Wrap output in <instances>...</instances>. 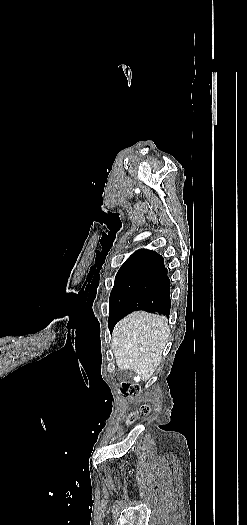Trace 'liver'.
Instances as JSON below:
<instances>
[{"label":"liver","mask_w":247,"mask_h":525,"mask_svg":"<svg viewBox=\"0 0 247 525\" xmlns=\"http://www.w3.org/2000/svg\"><path fill=\"white\" fill-rule=\"evenodd\" d=\"M170 329L164 315L134 311L121 319L112 333L111 349L120 371H134L149 381L162 361Z\"/></svg>","instance_id":"liver-1"}]
</instances>
